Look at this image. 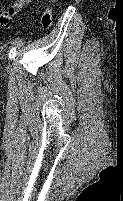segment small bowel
<instances>
[{
    "label": "small bowel",
    "mask_w": 123,
    "mask_h": 201,
    "mask_svg": "<svg viewBox=\"0 0 123 201\" xmlns=\"http://www.w3.org/2000/svg\"><path fill=\"white\" fill-rule=\"evenodd\" d=\"M32 0H13L8 9L0 10V27L7 28L12 18L25 9Z\"/></svg>",
    "instance_id": "1"
}]
</instances>
